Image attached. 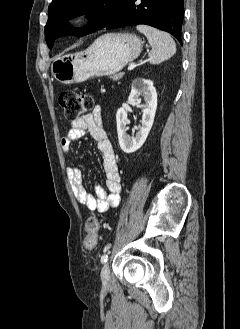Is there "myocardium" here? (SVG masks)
I'll list each match as a JSON object with an SVG mask.
<instances>
[{
    "label": "myocardium",
    "mask_w": 240,
    "mask_h": 329,
    "mask_svg": "<svg viewBox=\"0 0 240 329\" xmlns=\"http://www.w3.org/2000/svg\"><path fill=\"white\" fill-rule=\"evenodd\" d=\"M76 25H89L94 22V16L90 11H83L75 17Z\"/></svg>",
    "instance_id": "f54148a6"
}]
</instances>
